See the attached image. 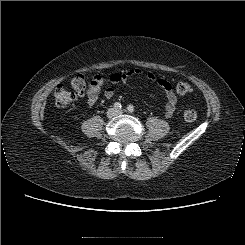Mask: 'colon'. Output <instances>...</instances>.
Here are the masks:
<instances>
[{
  "label": "colon",
  "instance_id": "obj_1",
  "mask_svg": "<svg viewBox=\"0 0 245 245\" xmlns=\"http://www.w3.org/2000/svg\"><path fill=\"white\" fill-rule=\"evenodd\" d=\"M88 87V82L84 75L78 74L69 82V88L59 86L54 91L55 104L58 107H66L73 103L79 94H82ZM176 93L184 96L192 91L191 85L187 82H179L176 85ZM184 118L188 122H193L197 119V112L192 108L184 110Z\"/></svg>",
  "mask_w": 245,
  "mask_h": 245
}]
</instances>
